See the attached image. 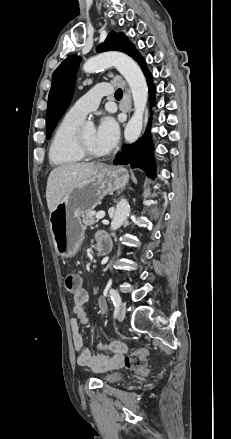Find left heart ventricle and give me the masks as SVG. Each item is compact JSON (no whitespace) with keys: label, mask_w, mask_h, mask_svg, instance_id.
Returning a JSON list of instances; mask_svg holds the SVG:
<instances>
[{"label":"left heart ventricle","mask_w":231,"mask_h":439,"mask_svg":"<svg viewBox=\"0 0 231 439\" xmlns=\"http://www.w3.org/2000/svg\"><path fill=\"white\" fill-rule=\"evenodd\" d=\"M82 138L85 144L95 153H103L95 141V130L93 128H85L82 130Z\"/></svg>","instance_id":"obj_1"}]
</instances>
